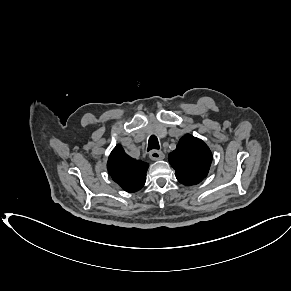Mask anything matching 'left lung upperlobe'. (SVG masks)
Segmentation results:
<instances>
[{"label":"left lung upper lobe","mask_w":291,"mask_h":291,"mask_svg":"<svg viewBox=\"0 0 291 291\" xmlns=\"http://www.w3.org/2000/svg\"><path fill=\"white\" fill-rule=\"evenodd\" d=\"M168 160L178 181L190 186L200 183L208 174L212 153L209 147L193 135L183 136Z\"/></svg>","instance_id":"5c2ea615"}]
</instances>
